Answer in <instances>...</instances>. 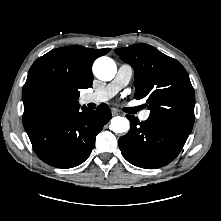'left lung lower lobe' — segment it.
Wrapping results in <instances>:
<instances>
[{"label": "left lung lower lobe", "mask_w": 221, "mask_h": 221, "mask_svg": "<svg viewBox=\"0 0 221 221\" xmlns=\"http://www.w3.org/2000/svg\"><path fill=\"white\" fill-rule=\"evenodd\" d=\"M126 117L131 128L120 137L119 148L127 161L145 169H156L174 160L191 132L152 118L140 123L132 115Z\"/></svg>", "instance_id": "0a47b994"}]
</instances>
